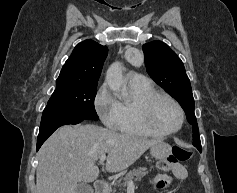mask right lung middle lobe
Segmentation results:
<instances>
[{"instance_id": "1", "label": "right lung middle lobe", "mask_w": 237, "mask_h": 193, "mask_svg": "<svg viewBox=\"0 0 237 193\" xmlns=\"http://www.w3.org/2000/svg\"><path fill=\"white\" fill-rule=\"evenodd\" d=\"M97 83L56 80V89L44 112L62 114L75 119L98 120L94 108Z\"/></svg>"}]
</instances>
